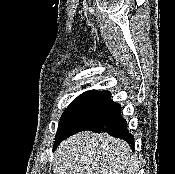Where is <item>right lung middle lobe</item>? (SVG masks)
<instances>
[{"instance_id":"1","label":"right lung middle lobe","mask_w":175,"mask_h":174,"mask_svg":"<svg viewBox=\"0 0 175 174\" xmlns=\"http://www.w3.org/2000/svg\"><path fill=\"white\" fill-rule=\"evenodd\" d=\"M89 95L90 94L79 95L66 108V110L64 111V113L61 116V119H60V122L58 125V130H57V134L55 137V143L58 142L62 138V136L66 132V129L68 128L70 122L72 121V119L74 118V116L76 115V113L78 112L80 107L84 104V102L86 101V99L88 98Z\"/></svg>"}]
</instances>
